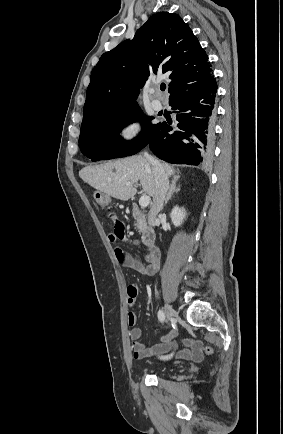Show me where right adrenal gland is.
<instances>
[{
	"mask_svg": "<svg viewBox=\"0 0 283 434\" xmlns=\"http://www.w3.org/2000/svg\"><path fill=\"white\" fill-rule=\"evenodd\" d=\"M179 178H180L179 175H175L173 177L170 188H169V192H168L167 197H166L165 202H164V206L167 205L168 201L171 199V197L173 196L174 193H177L180 191V187H177V185H176Z\"/></svg>",
	"mask_w": 283,
	"mask_h": 434,
	"instance_id": "2a0ac1e0",
	"label": "right adrenal gland"
}]
</instances>
